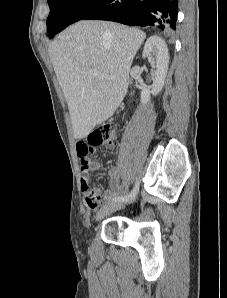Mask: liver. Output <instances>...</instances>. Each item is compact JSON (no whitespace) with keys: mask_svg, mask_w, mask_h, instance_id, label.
Instances as JSON below:
<instances>
[{"mask_svg":"<svg viewBox=\"0 0 227 298\" xmlns=\"http://www.w3.org/2000/svg\"><path fill=\"white\" fill-rule=\"evenodd\" d=\"M145 38L136 28L82 20L50 44L49 55L68 104L75 139L87 137L96 125L113 116L127 93L133 58ZM91 70L99 75L93 76Z\"/></svg>","mask_w":227,"mask_h":298,"instance_id":"liver-1","label":"liver"}]
</instances>
